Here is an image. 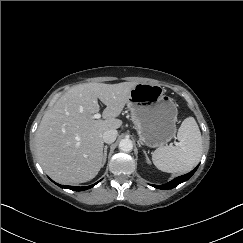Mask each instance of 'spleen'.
Masks as SVG:
<instances>
[{"label":"spleen","instance_id":"obj_1","mask_svg":"<svg viewBox=\"0 0 243 243\" xmlns=\"http://www.w3.org/2000/svg\"><path fill=\"white\" fill-rule=\"evenodd\" d=\"M177 146H162L152 154L154 165L163 172L186 173L198 164L202 155V138L193 117L183 120L178 133Z\"/></svg>","mask_w":243,"mask_h":243}]
</instances>
